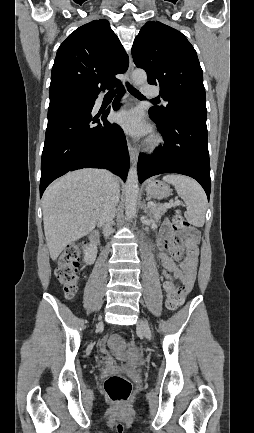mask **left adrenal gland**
Here are the masks:
<instances>
[{
    "label": "left adrenal gland",
    "mask_w": 254,
    "mask_h": 433,
    "mask_svg": "<svg viewBox=\"0 0 254 433\" xmlns=\"http://www.w3.org/2000/svg\"><path fill=\"white\" fill-rule=\"evenodd\" d=\"M142 208H143V210H144V212H145L146 214H149V211H148V208H147V206H146V202H145V200L143 201Z\"/></svg>",
    "instance_id": "left-adrenal-gland-1"
}]
</instances>
